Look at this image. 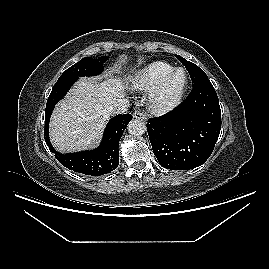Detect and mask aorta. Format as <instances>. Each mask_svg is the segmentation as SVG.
Returning <instances> with one entry per match:
<instances>
[{"instance_id": "obj_1", "label": "aorta", "mask_w": 269, "mask_h": 269, "mask_svg": "<svg viewBox=\"0 0 269 269\" xmlns=\"http://www.w3.org/2000/svg\"><path fill=\"white\" fill-rule=\"evenodd\" d=\"M128 131L131 135L141 136L146 131V124L138 119L131 120L128 124Z\"/></svg>"}]
</instances>
